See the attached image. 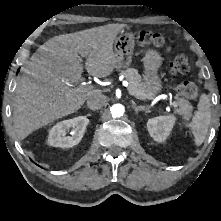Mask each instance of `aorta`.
I'll use <instances>...</instances> for the list:
<instances>
[{
	"label": "aorta",
	"mask_w": 221,
	"mask_h": 221,
	"mask_svg": "<svg viewBox=\"0 0 221 221\" xmlns=\"http://www.w3.org/2000/svg\"><path fill=\"white\" fill-rule=\"evenodd\" d=\"M110 112H111L112 117L119 118L123 116L125 112V108L122 104H114L111 106Z\"/></svg>",
	"instance_id": "aorta-1"
}]
</instances>
